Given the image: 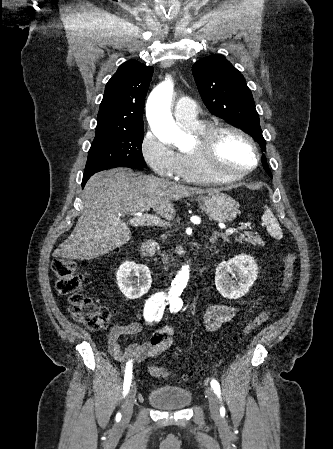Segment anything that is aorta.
Masks as SVG:
<instances>
[{
    "label": "aorta",
    "mask_w": 333,
    "mask_h": 449,
    "mask_svg": "<svg viewBox=\"0 0 333 449\" xmlns=\"http://www.w3.org/2000/svg\"><path fill=\"white\" fill-rule=\"evenodd\" d=\"M173 83L168 78L160 83L150 94L146 115L153 133L162 141L174 143L181 147L188 143V135L175 123L171 113V102L173 96ZM189 279V265L184 264L177 273L171 287L173 295L184 292Z\"/></svg>",
    "instance_id": "1"
}]
</instances>
